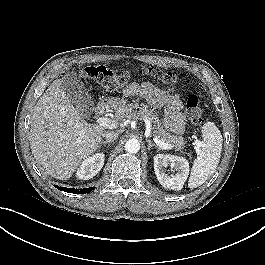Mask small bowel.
<instances>
[{"label":"small bowel","instance_id":"c3829d8e","mask_svg":"<svg viewBox=\"0 0 265 265\" xmlns=\"http://www.w3.org/2000/svg\"><path fill=\"white\" fill-rule=\"evenodd\" d=\"M124 96L143 97L149 105L164 110L163 125L175 133L181 134L184 131L186 119L182 112V102L175 95L162 93L150 83H131L124 90Z\"/></svg>","mask_w":265,"mask_h":265}]
</instances>
